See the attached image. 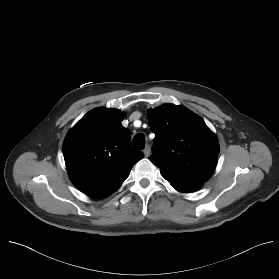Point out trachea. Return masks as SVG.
<instances>
[{
    "mask_svg": "<svg viewBox=\"0 0 279 279\" xmlns=\"http://www.w3.org/2000/svg\"><path fill=\"white\" fill-rule=\"evenodd\" d=\"M133 145L137 149H143L145 147V137L143 134H136L133 138Z\"/></svg>",
    "mask_w": 279,
    "mask_h": 279,
    "instance_id": "obj_1",
    "label": "trachea"
}]
</instances>
